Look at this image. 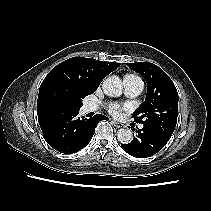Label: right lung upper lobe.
I'll list each match as a JSON object with an SVG mask.
<instances>
[{
  "label": "right lung upper lobe",
  "instance_id": "right-lung-upper-lobe-1",
  "mask_svg": "<svg viewBox=\"0 0 211 211\" xmlns=\"http://www.w3.org/2000/svg\"><path fill=\"white\" fill-rule=\"evenodd\" d=\"M119 66L120 63H108L84 57H73L58 64L47 74L40 86L37 101L38 118L49 114L42 105L41 96L50 83L65 82L92 94L101 81Z\"/></svg>",
  "mask_w": 211,
  "mask_h": 211
}]
</instances>
